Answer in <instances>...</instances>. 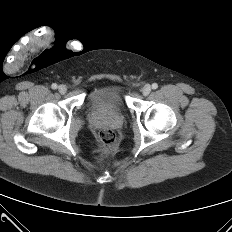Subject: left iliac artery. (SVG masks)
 <instances>
[{"mask_svg":"<svg viewBox=\"0 0 232 232\" xmlns=\"http://www.w3.org/2000/svg\"><path fill=\"white\" fill-rule=\"evenodd\" d=\"M158 88V84L157 83H153L152 84V89H157Z\"/></svg>","mask_w":232,"mask_h":232,"instance_id":"obj_1","label":"left iliac artery"}]
</instances>
